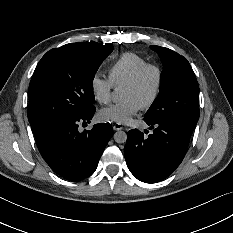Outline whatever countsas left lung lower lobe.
Wrapping results in <instances>:
<instances>
[{
    "instance_id": "1",
    "label": "left lung lower lobe",
    "mask_w": 233,
    "mask_h": 233,
    "mask_svg": "<svg viewBox=\"0 0 233 233\" xmlns=\"http://www.w3.org/2000/svg\"><path fill=\"white\" fill-rule=\"evenodd\" d=\"M147 124L153 129L148 137L138 129L128 132L124 156L129 170L138 180L155 183L168 177L180 165L196 125L181 122Z\"/></svg>"
}]
</instances>
